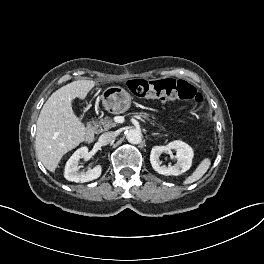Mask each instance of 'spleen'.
<instances>
[{
	"instance_id": "obj_1",
	"label": "spleen",
	"mask_w": 264,
	"mask_h": 264,
	"mask_svg": "<svg viewBox=\"0 0 264 264\" xmlns=\"http://www.w3.org/2000/svg\"><path fill=\"white\" fill-rule=\"evenodd\" d=\"M210 165L211 160L209 158H204L197 166L195 171L185 179L184 184H191L198 181L207 172Z\"/></svg>"
}]
</instances>
